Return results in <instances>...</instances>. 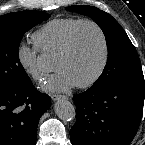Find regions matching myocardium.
Listing matches in <instances>:
<instances>
[{
	"label": "myocardium",
	"instance_id": "obj_1",
	"mask_svg": "<svg viewBox=\"0 0 145 145\" xmlns=\"http://www.w3.org/2000/svg\"><path fill=\"white\" fill-rule=\"evenodd\" d=\"M83 25H90L98 31V33L101 37V40H102V45H103V58H102V62L100 64L98 70L89 80H87L86 82H83V83L76 84V86L80 89L89 88V87L95 85L100 80V78L103 76V74L108 66L109 59H110V46H109L107 34L99 23H97L96 21L91 20V19H82L72 28L63 47L57 53L56 58H63V57L68 56L71 53L73 46H74L77 32L80 29V27H82Z\"/></svg>",
	"mask_w": 145,
	"mask_h": 145
}]
</instances>
